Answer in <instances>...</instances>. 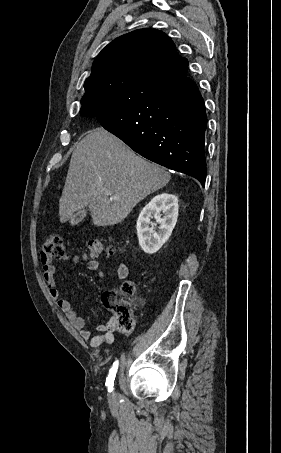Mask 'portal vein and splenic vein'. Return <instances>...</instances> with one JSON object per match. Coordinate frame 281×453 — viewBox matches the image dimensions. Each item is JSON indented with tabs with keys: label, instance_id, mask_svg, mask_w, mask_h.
<instances>
[{
	"label": "portal vein and splenic vein",
	"instance_id": "1",
	"mask_svg": "<svg viewBox=\"0 0 281 453\" xmlns=\"http://www.w3.org/2000/svg\"><path fill=\"white\" fill-rule=\"evenodd\" d=\"M104 190V194H110V198H118V196H116V194H112V192H110V190H106V188H103Z\"/></svg>",
	"mask_w": 281,
	"mask_h": 453
}]
</instances>
